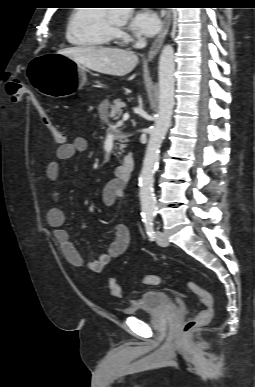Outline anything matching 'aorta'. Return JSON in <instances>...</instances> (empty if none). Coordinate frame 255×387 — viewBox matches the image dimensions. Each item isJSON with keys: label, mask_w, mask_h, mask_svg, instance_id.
<instances>
[{"label": "aorta", "mask_w": 255, "mask_h": 387, "mask_svg": "<svg viewBox=\"0 0 255 387\" xmlns=\"http://www.w3.org/2000/svg\"><path fill=\"white\" fill-rule=\"evenodd\" d=\"M110 13L122 21H126L132 14V8H110ZM175 56L172 45H165L159 57V106L155 124L150 131L142 171L139 177V196L142 214L152 218L157 209L154 194V174L160 159L159 152L162 141L171 125L173 107L175 104Z\"/></svg>", "instance_id": "aorta-1"}]
</instances>
